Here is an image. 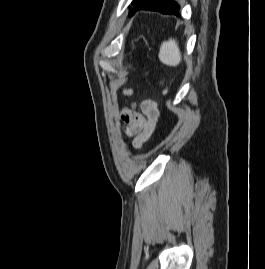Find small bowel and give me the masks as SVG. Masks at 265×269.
<instances>
[{"label":"small bowel","instance_id":"small-bowel-1","mask_svg":"<svg viewBox=\"0 0 265 269\" xmlns=\"http://www.w3.org/2000/svg\"><path fill=\"white\" fill-rule=\"evenodd\" d=\"M141 110L144 116L134 110L126 109L123 112V119L136 124L137 133L133 139V146L141 147L153 133L159 118V109L152 100H145L141 103Z\"/></svg>","mask_w":265,"mask_h":269}]
</instances>
